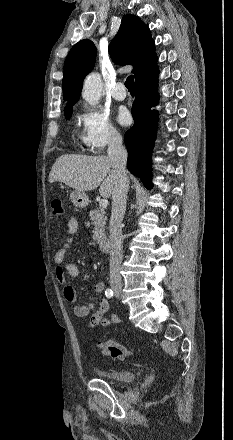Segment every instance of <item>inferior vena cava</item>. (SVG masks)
<instances>
[{"instance_id": "inferior-vena-cava-1", "label": "inferior vena cava", "mask_w": 233, "mask_h": 440, "mask_svg": "<svg viewBox=\"0 0 233 440\" xmlns=\"http://www.w3.org/2000/svg\"><path fill=\"white\" fill-rule=\"evenodd\" d=\"M107 152L116 172V181L112 192V213L109 223L110 283L120 285L123 241L121 223L126 209V198L129 189L126 171L127 151L122 145L120 134L112 135Z\"/></svg>"}]
</instances>
